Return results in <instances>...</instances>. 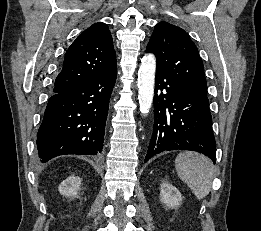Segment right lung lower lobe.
<instances>
[{
  "label": "right lung lower lobe",
  "mask_w": 261,
  "mask_h": 231,
  "mask_svg": "<svg viewBox=\"0 0 261 231\" xmlns=\"http://www.w3.org/2000/svg\"><path fill=\"white\" fill-rule=\"evenodd\" d=\"M117 66L49 98L37 134L40 161L65 154L99 155Z\"/></svg>",
  "instance_id": "obj_1"
}]
</instances>
